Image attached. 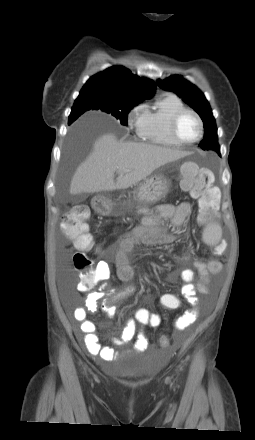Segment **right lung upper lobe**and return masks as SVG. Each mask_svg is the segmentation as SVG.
<instances>
[{
    "label": "right lung upper lobe",
    "mask_w": 255,
    "mask_h": 440,
    "mask_svg": "<svg viewBox=\"0 0 255 440\" xmlns=\"http://www.w3.org/2000/svg\"><path fill=\"white\" fill-rule=\"evenodd\" d=\"M156 85L152 80L133 75L122 66H113L92 76L83 86L79 95H95L105 99L124 102H141L151 98ZM75 120L69 118V124Z\"/></svg>",
    "instance_id": "obj_1"
}]
</instances>
